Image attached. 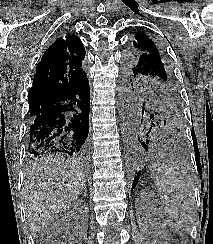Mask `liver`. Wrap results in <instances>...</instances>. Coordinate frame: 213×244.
Returning <instances> with one entry per match:
<instances>
[{"label":"liver","mask_w":213,"mask_h":244,"mask_svg":"<svg viewBox=\"0 0 213 244\" xmlns=\"http://www.w3.org/2000/svg\"><path fill=\"white\" fill-rule=\"evenodd\" d=\"M85 183L80 162L61 154L41 158L27 170L23 196L33 237L42 235L55 215L79 197Z\"/></svg>","instance_id":"1"}]
</instances>
